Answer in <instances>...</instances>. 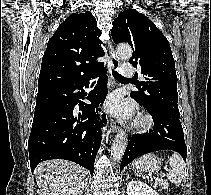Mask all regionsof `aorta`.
Instances as JSON below:
<instances>
[{
    "mask_svg": "<svg viewBox=\"0 0 211 195\" xmlns=\"http://www.w3.org/2000/svg\"><path fill=\"white\" fill-rule=\"evenodd\" d=\"M116 56L121 60H128L132 56V49L129 45L121 44L117 47ZM128 138L124 132L116 135L111 146V157L114 161H119L127 147Z\"/></svg>",
    "mask_w": 211,
    "mask_h": 195,
    "instance_id": "aorta-1",
    "label": "aorta"
}]
</instances>
